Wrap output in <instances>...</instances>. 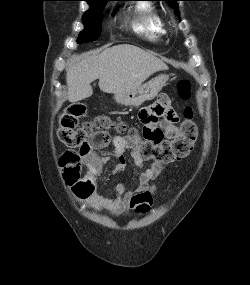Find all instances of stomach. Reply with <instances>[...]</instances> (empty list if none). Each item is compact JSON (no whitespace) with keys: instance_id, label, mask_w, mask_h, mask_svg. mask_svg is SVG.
<instances>
[{"instance_id":"1","label":"stomach","mask_w":250,"mask_h":285,"mask_svg":"<svg viewBox=\"0 0 250 285\" xmlns=\"http://www.w3.org/2000/svg\"><path fill=\"white\" fill-rule=\"evenodd\" d=\"M168 81L167 75H159L150 81L139 85L138 87L129 91L115 93L114 99L118 104L124 106L139 107L145 101L154 99L163 86Z\"/></svg>"}]
</instances>
